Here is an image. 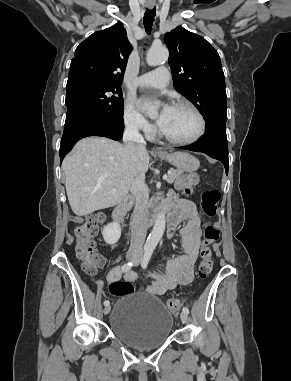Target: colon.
Instances as JSON below:
<instances>
[{"instance_id":"1","label":"colon","mask_w":291,"mask_h":381,"mask_svg":"<svg viewBox=\"0 0 291 381\" xmlns=\"http://www.w3.org/2000/svg\"><path fill=\"white\" fill-rule=\"evenodd\" d=\"M198 185V179L194 176H185L177 182V187L185 193H191ZM219 201L217 190H206L202 192L200 204L203 213L212 218L216 215ZM105 217L102 214L88 216L86 220L74 228L75 252L81 262L84 272L88 275H95L104 265V258L95 250V237L98 235ZM220 237L217 226L207 223L204 227L202 246L200 249V263L198 265V275L206 278L213 269L212 246L215 245ZM134 286L126 281H115L110 285V292L114 296L133 294ZM167 309L176 313L179 311L181 303L177 299H169L166 302Z\"/></svg>"}]
</instances>
